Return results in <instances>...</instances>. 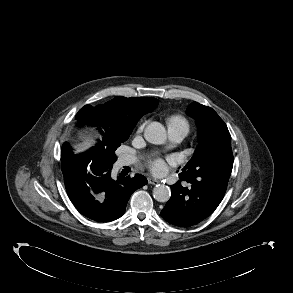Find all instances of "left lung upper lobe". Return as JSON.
Listing matches in <instances>:
<instances>
[{
  "label": "left lung upper lobe",
  "instance_id": "obj_1",
  "mask_svg": "<svg viewBox=\"0 0 293 293\" xmlns=\"http://www.w3.org/2000/svg\"><path fill=\"white\" fill-rule=\"evenodd\" d=\"M187 114L196 120L199 145L182 173L220 172L231 174L233 153L231 135L224 121L210 107L191 103Z\"/></svg>",
  "mask_w": 293,
  "mask_h": 293
}]
</instances>
